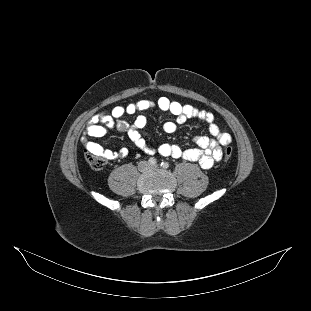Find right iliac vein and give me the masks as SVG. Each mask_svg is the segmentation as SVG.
I'll return each instance as SVG.
<instances>
[{"label":"right iliac vein","instance_id":"right-iliac-vein-1","mask_svg":"<svg viewBox=\"0 0 311 311\" xmlns=\"http://www.w3.org/2000/svg\"><path fill=\"white\" fill-rule=\"evenodd\" d=\"M148 168V165L146 163L141 164V169L145 170Z\"/></svg>","mask_w":311,"mask_h":311}]
</instances>
